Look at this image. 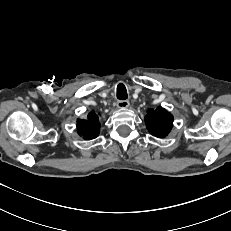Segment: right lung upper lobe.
<instances>
[{"label": "right lung upper lobe", "mask_w": 231, "mask_h": 231, "mask_svg": "<svg viewBox=\"0 0 231 231\" xmlns=\"http://www.w3.org/2000/svg\"><path fill=\"white\" fill-rule=\"evenodd\" d=\"M100 123L94 111L88 114L87 119L77 120V132L84 139H94L99 135Z\"/></svg>", "instance_id": "1"}]
</instances>
